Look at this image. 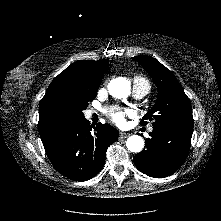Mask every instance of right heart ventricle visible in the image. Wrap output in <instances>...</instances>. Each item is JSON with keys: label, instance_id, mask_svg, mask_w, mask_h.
<instances>
[{"label": "right heart ventricle", "instance_id": "obj_1", "mask_svg": "<svg viewBox=\"0 0 221 221\" xmlns=\"http://www.w3.org/2000/svg\"><path fill=\"white\" fill-rule=\"evenodd\" d=\"M133 85L134 87H141L150 90V82L142 75L137 74L133 77Z\"/></svg>", "mask_w": 221, "mask_h": 221}]
</instances>
